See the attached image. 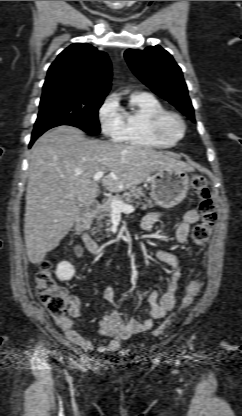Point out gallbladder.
<instances>
[{
	"mask_svg": "<svg viewBox=\"0 0 242 416\" xmlns=\"http://www.w3.org/2000/svg\"><path fill=\"white\" fill-rule=\"evenodd\" d=\"M77 204H78V208H79L80 213L83 214L86 211V204L80 203L78 201H77Z\"/></svg>",
	"mask_w": 242,
	"mask_h": 416,
	"instance_id": "obj_1",
	"label": "gallbladder"
}]
</instances>
